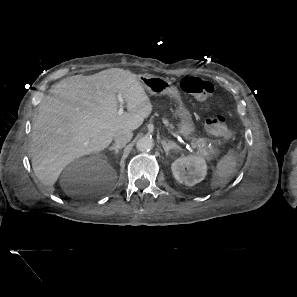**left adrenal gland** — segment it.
<instances>
[{
	"mask_svg": "<svg viewBox=\"0 0 297 297\" xmlns=\"http://www.w3.org/2000/svg\"><path fill=\"white\" fill-rule=\"evenodd\" d=\"M161 144L163 146L166 156L169 155V152L172 149L181 150V148L176 143H174L172 141L166 142L165 140H163V141H161Z\"/></svg>",
	"mask_w": 297,
	"mask_h": 297,
	"instance_id": "obj_1",
	"label": "left adrenal gland"
}]
</instances>
